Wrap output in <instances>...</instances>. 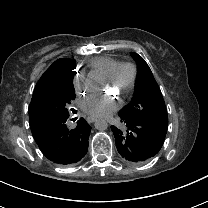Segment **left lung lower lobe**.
Listing matches in <instances>:
<instances>
[{
  "label": "left lung lower lobe",
  "instance_id": "1",
  "mask_svg": "<svg viewBox=\"0 0 208 208\" xmlns=\"http://www.w3.org/2000/svg\"><path fill=\"white\" fill-rule=\"evenodd\" d=\"M120 125H112L119 154L131 163H143L161 149L167 129L139 117L119 112Z\"/></svg>",
  "mask_w": 208,
  "mask_h": 208
}]
</instances>
